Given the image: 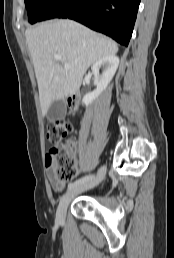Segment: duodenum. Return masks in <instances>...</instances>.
Instances as JSON below:
<instances>
[{
    "label": "duodenum",
    "mask_w": 174,
    "mask_h": 258,
    "mask_svg": "<svg viewBox=\"0 0 174 258\" xmlns=\"http://www.w3.org/2000/svg\"><path fill=\"white\" fill-rule=\"evenodd\" d=\"M77 104H78L77 96L75 94L71 95L68 98V106L70 107V109L75 110L77 108Z\"/></svg>",
    "instance_id": "duodenum-1"
}]
</instances>
